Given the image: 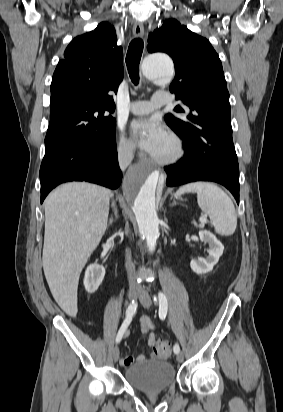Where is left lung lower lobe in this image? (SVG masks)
Returning a JSON list of instances; mask_svg holds the SVG:
<instances>
[{
	"label": "left lung lower lobe",
	"mask_w": 283,
	"mask_h": 412,
	"mask_svg": "<svg viewBox=\"0 0 283 412\" xmlns=\"http://www.w3.org/2000/svg\"><path fill=\"white\" fill-rule=\"evenodd\" d=\"M185 149L184 157L176 164L165 167L168 186L194 181H214L225 186L239 204V168L222 167L210 159L203 144L193 134L180 137Z\"/></svg>",
	"instance_id": "obj_1"
}]
</instances>
